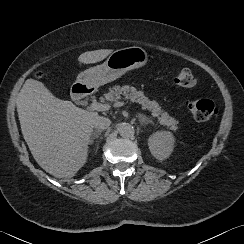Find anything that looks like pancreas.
Wrapping results in <instances>:
<instances>
[{
	"label": "pancreas",
	"mask_w": 244,
	"mask_h": 244,
	"mask_svg": "<svg viewBox=\"0 0 244 244\" xmlns=\"http://www.w3.org/2000/svg\"><path fill=\"white\" fill-rule=\"evenodd\" d=\"M105 98L110 102L129 99L132 102L139 103L142 105L143 109L151 111L152 115L158 118L161 125L167 126L171 130L177 129V119L171 117L156 101H151L142 91H138L134 87L128 85L122 87L119 85L113 86L109 89L108 93L105 94Z\"/></svg>",
	"instance_id": "pancreas-1"
}]
</instances>
